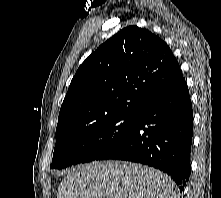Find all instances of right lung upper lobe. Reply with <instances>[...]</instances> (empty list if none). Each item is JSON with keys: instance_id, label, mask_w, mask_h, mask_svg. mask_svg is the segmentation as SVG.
Here are the masks:
<instances>
[{"instance_id": "1", "label": "right lung upper lobe", "mask_w": 221, "mask_h": 198, "mask_svg": "<svg viewBox=\"0 0 221 198\" xmlns=\"http://www.w3.org/2000/svg\"><path fill=\"white\" fill-rule=\"evenodd\" d=\"M183 75L169 46L129 26L78 68L60 109L56 137L117 113L139 114Z\"/></svg>"}]
</instances>
